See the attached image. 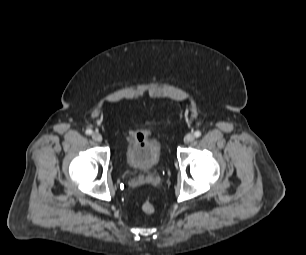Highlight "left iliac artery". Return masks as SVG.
I'll return each mask as SVG.
<instances>
[{
    "label": "left iliac artery",
    "mask_w": 306,
    "mask_h": 255,
    "mask_svg": "<svg viewBox=\"0 0 306 255\" xmlns=\"http://www.w3.org/2000/svg\"><path fill=\"white\" fill-rule=\"evenodd\" d=\"M194 136L197 137V138L200 137V136H201V131H199V130L196 131V132L194 133Z\"/></svg>",
    "instance_id": "1"
}]
</instances>
